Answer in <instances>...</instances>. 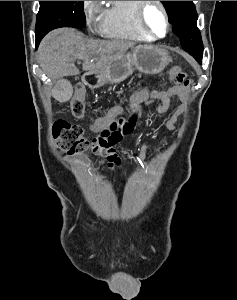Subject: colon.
I'll return each mask as SVG.
<instances>
[{
  "label": "colon",
  "mask_w": 237,
  "mask_h": 300,
  "mask_svg": "<svg viewBox=\"0 0 237 300\" xmlns=\"http://www.w3.org/2000/svg\"><path fill=\"white\" fill-rule=\"evenodd\" d=\"M176 83L188 85L190 80L187 74L180 68L173 70ZM146 95L143 100L148 105L158 102L162 90L144 89ZM86 88L83 84L75 87L74 95L70 103L72 114L81 118L85 112ZM133 106L131 114L127 118L114 119L107 128L102 130L93 140H88L83 135V129L76 124L66 121L57 122L53 128V138L59 149L70 155H79L88 149L94 151H109L114 148L125 136L132 134L141 117L139 104Z\"/></svg>",
  "instance_id": "5ec220e1"
}]
</instances>
